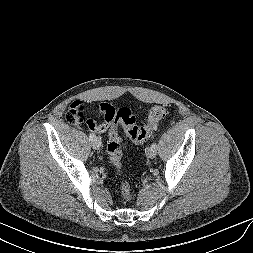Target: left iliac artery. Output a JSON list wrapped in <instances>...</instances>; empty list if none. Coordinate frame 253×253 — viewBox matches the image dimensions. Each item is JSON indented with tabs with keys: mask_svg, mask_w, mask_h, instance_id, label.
I'll list each match as a JSON object with an SVG mask.
<instances>
[{
	"mask_svg": "<svg viewBox=\"0 0 253 253\" xmlns=\"http://www.w3.org/2000/svg\"><path fill=\"white\" fill-rule=\"evenodd\" d=\"M151 148H153V149L157 150V148H158L157 143H153V144L151 145Z\"/></svg>",
	"mask_w": 253,
	"mask_h": 253,
	"instance_id": "obj_1",
	"label": "left iliac artery"
}]
</instances>
